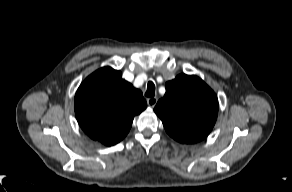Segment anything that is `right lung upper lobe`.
<instances>
[{
	"label": "right lung upper lobe",
	"instance_id": "right-lung-upper-lobe-1",
	"mask_svg": "<svg viewBox=\"0 0 292 192\" xmlns=\"http://www.w3.org/2000/svg\"><path fill=\"white\" fill-rule=\"evenodd\" d=\"M147 107L142 92L111 67L88 76L75 95V114L83 131L93 140L111 146L129 132L135 115Z\"/></svg>",
	"mask_w": 292,
	"mask_h": 192
}]
</instances>
